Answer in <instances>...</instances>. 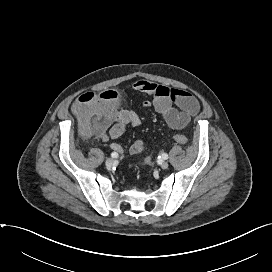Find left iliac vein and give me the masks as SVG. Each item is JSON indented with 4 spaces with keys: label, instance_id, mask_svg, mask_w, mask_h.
I'll list each match as a JSON object with an SVG mask.
<instances>
[{
    "label": "left iliac vein",
    "instance_id": "left-iliac-vein-1",
    "mask_svg": "<svg viewBox=\"0 0 272 272\" xmlns=\"http://www.w3.org/2000/svg\"><path fill=\"white\" fill-rule=\"evenodd\" d=\"M160 166H161L162 169H167L168 166H169V164H168V162L163 161V162L160 164Z\"/></svg>",
    "mask_w": 272,
    "mask_h": 272
}]
</instances>
